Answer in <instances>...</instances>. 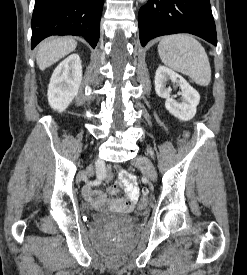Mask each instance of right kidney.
Here are the masks:
<instances>
[{
    "label": "right kidney",
    "instance_id": "obj_1",
    "mask_svg": "<svg viewBox=\"0 0 247 275\" xmlns=\"http://www.w3.org/2000/svg\"><path fill=\"white\" fill-rule=\"evenodd\" d=\"M81 81V60L78 54H72L52 74L47 93L51 108L63 112L77 95Z\"/></svg>",
    "mask_w": 247,
    "mask_h": 275
}]
</instances>
